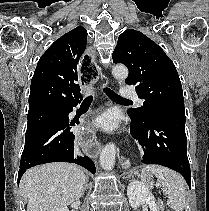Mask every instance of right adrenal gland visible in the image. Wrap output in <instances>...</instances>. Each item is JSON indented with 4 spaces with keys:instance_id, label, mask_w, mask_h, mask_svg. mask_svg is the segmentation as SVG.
<instances>
[{
    "instance_id": "obj_1",
    "label": "right adrenal gland",
    "mask_w": 209,
    "mask_h": 211,
    "mask_svg": "<svg viewBox=\"0 0 209 211\" xmlns=\"http://www.w3.org/2000/svg\"><path fill=\"white\" fill-rule=\"evenodd\" d=\"M88 189V178L85 179V185H84V190H83V194L85 193V191Z\"/></svg>"
}]
</instances>
